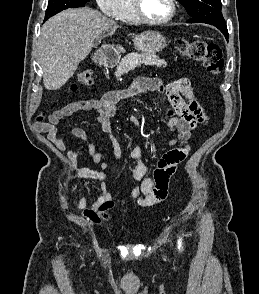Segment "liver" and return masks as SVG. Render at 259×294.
I'll list each match as a JSON object with an SVG mask.
<instances>
[{
  "mask_svg": "<svg viewBox=\"0 0 259 294\" xmlns=\"http://www.w3.org/2000/svg\"><path fill=\"white\" fill-rule=\"evenodd\" d=\"M119 25L90 8L65 10L48 19L41 28L37 50L48 90L61 88L87 57L97 39L113 35ZM119 52L124 49L117 46Z\"/></svg>",
  "mask_w": 259,
  "mask_h": 294,
  "instance_id": "obj_1",
  "label": "liver"
}]
</instances>
